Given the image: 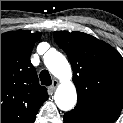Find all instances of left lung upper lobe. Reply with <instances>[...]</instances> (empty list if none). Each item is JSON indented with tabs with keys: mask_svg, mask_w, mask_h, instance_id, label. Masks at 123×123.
I'll return each mask as SVG.
<instances>
[{
	"mask_svg": "<svg viewBox=\"0 0 123 123\" xmlns=\"http://www.w3.org/2000/svg\"><path fill=\"white\" fill-rule=\"evenodd\" d=\"M73 69L77 104L117 117L123 108V58L117 50L81 32H54Z\"/></svg>",
	"mask_w": 123,
	"mask_h": 123,
	"instance_id": "5c2ea615",
	"label": "left lung upper lobe"
}]
</instances>
